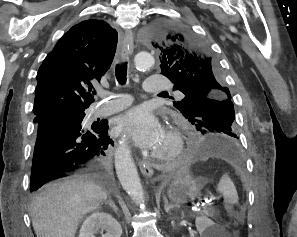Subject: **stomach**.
Returning a JSON list of instances; mask_svg holds the SVG:
<instances>
[{
  "instance_id": "1",
  "label": "stomach",
  "mask_w": 297,
  "mask_h": 237,
  "mask_svg": "<svg viewBox=\"0 0 297 237\" xmlns=\"http://www.w3.org/2000/svg\"><path fill=\"white\" fill-rule=\"evenodd\" d=\"M203 184L187 170L181 171L169 184L167 196L176 206L194 200L200 196Z\"/></svg>"
}]
</instances>
